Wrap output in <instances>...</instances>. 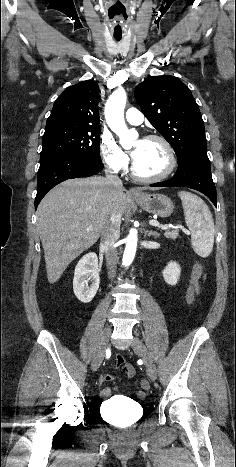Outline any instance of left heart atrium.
<instances>
[{
	"label": "left heart atrium",
	"instance_id": "1",
	"mask_svg": "<svg viewBox=\"0 0 236 467\" xmlns=\"http://www.w3.org/2000/svg\"><path fill=\"white\" fill-rule=\"evenodd\" d=\"M137 154H138V150L137 149L133 150L132 156H133L134 159L136 158Z\"/></svg>",
	"mask_w": 236,
	"mask_h": 467
}]
</instances>
